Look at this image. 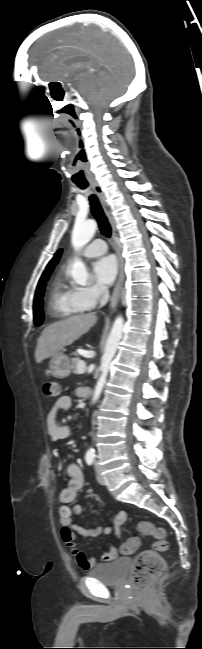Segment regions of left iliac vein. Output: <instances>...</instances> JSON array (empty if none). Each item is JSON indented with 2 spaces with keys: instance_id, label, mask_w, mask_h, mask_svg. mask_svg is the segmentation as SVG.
I'll list each match as a JSON object with an SVG mask.
<instances>
[{
  "instance_id": "obj_1",
  "label": "left iliac vein",
  "mask_w": 202,
  "mask_h": 649,
  "mask_svg": "<svg viewBox=\"0 0 202 649\" xmlns=\"http://www.w3.org/2000/svg\"><path fill=\"white\" fill-rule=\"evenodd\" d=\"M95 468H96V478H97L98 483L101 484V485H105V479L102 476V474L100 472V469H99V466L97 464H95Z\"/></svg>"
}]
</instances>
